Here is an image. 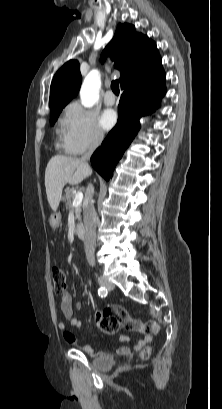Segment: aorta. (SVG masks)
<instances>
[{
    "mask_svg": "<svg viewBox=\"0 0 222 409\" xmlns=\"http://www.w3.org/2000/svg\"><path fill=\"white\" fill-rule=\"evenodd\" d=\"M100 86L99 72L97 70L91 71L85 77L80 90L81 103L84 107L90 108L98 101Z\"/></svg>",
    "mask_w": 222,
    "mask_h": 409,
    "instance_id": "1",
    "label": "aorta"
}]
</instances>
